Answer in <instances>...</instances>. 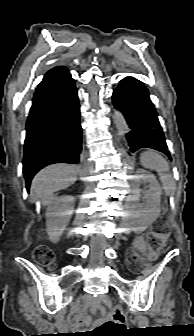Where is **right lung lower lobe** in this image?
I'll return each mask as SVG.
<instances>
[{"label":"right lung lower lobe","instance_id":"obj_1","mask_svg":"<svg viewBox=\"0 0 194 336\" xmlns=\"http://www.w3.org/2000/svg\"><path fill=\"white\" fill-rule=\"evenodd\" d=\"M82 128L77 89L62 66L48 71L38 85L26 124L23 172L29 189L34 175L53 163L78 164Z\"/></svg>","mask_w":194,"mask_h":336}]
</instances>
